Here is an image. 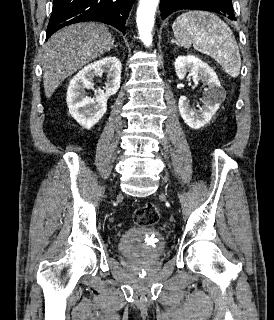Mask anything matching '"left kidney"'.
<instances>
[{
    "instance_id": "1",
    "label": "left kidney",
    "mask_w": 274,
    "mask_h": 320,
    "mask_svg": "<svg viewBox=\"0 0 274 320\" xmlns=\"http://www.w3.org/2000/svg\"><path fill=\"white\" fill-rule=\"evenodd\" d=\"M176 76L184 80L187 74L192 76L194 84L203 82L206 88L202 98V108L193 110L186 96H180L178 108L182 120L189 128L199 130L202 126L209 124L212 116L217 112L219 106L226 98L225 90L222 88L213 68L202 62L196 56H178L174 62Z\"/></svg>"
}]
</instances>
